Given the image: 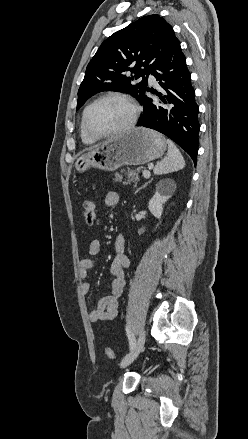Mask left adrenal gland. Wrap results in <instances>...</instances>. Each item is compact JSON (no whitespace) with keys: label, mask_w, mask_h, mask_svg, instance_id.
Instances as JSON below:
<instances>
[{"label":"left adrenal gland","mask_w":248,"mask_h":439,"mask_svg":"<svg viewBox=\"0 0 248 439\" xmlns=\"http://www.w3.org/2000/svg\"><path fill=\"white\" fill-rule=\"evenodd\" d=\"M151 182V180L150 181H148L147 183H145L141 188H139L136 192H138V191H140L142 188H144L148 183H150Z\"/></svg>","instance_id":"left-adrenal-gland-1"}]
</instances>
